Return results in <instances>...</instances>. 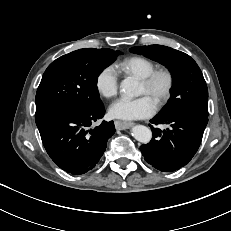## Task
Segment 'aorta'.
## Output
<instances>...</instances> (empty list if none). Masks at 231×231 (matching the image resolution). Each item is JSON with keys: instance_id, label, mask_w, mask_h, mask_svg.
I'll use <instances>...</instances> for the list:
<instances>
[{"instance_id": "1", "label": "aorta", "mask_w": 231, "mask_h": 231, "mask_svg": "<svg viewBox=\"0 0 231 231\" xmlns=\"http://www.w3.org/2000/svg\"><path fill=\"white\" fill-rule=\"evenodd\" d=\"M120 90L128 97L136 96L139 94L138 82L131 77H127L121 82ZM132 136L137 141L146 144L152 139V132L146 126L136 125L132 128Z\"/></svg>"}]
</instances>
